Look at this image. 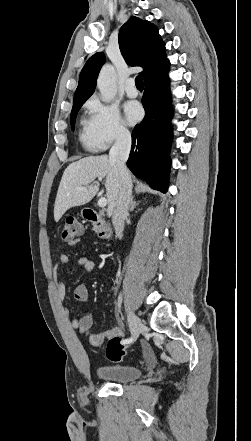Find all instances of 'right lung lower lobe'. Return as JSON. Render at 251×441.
<instances>
[{
    "label": "right lung lower lobe",
    "instance_id": "right-lung-lower-lobe-1",
    "mask_svg": "<svg viewBox=\"0 0 251 441\" xmlns=\"http://www.w3.org/2000/svg\"><path fill=\"white\" fill-rule=\"evenodd\" d=\"M169 67L144 81L143 121L132 132V148L127 166L151 188L166 193L170 169L173 111L169 91Z\"/></svg>",
    "mask_w": 251,
    "mask_h": 441
}]
</instances>
